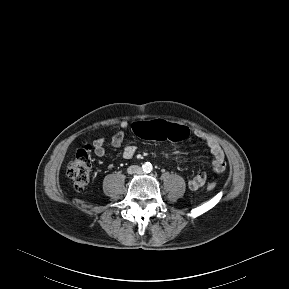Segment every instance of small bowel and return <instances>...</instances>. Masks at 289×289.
Masks as SVG:
<instances>
[{"instance_id": "obj_1", "label": "small bowel", "mask_w": 289, "mask_h": 289, "mask_svg": "<svg viewBox=\"0 0 289 289\" xmlns=\"http://www.w3.org/2000/svg\"><path fill=\"white\" fill-rule=\"evenodd\" d=\"M131 128L133 131V124L130 125L127 121H122L119 126V130L112 136L110 140V144L112 147L118 148L122 145L124 139H125V134L126 131ZM195 135L202 139L207 147L210 150V153L213 157L212 160V170L215 173H221L225 170L226 168V161H225V155L220 147V145L214 141L213 139L207 137L203 132L201 131H196ZM105 139L104 138H97L93 141V148H94V153L98 157H104L106 154L105 150ZM136 153V147L133 145H128L124 147L122 151V157L124 159H131ZM208 178V174L206 172H202L194 176L192 179L189 180L188 185L189 188L192 190H197L204 186L206 180Z\"/></svg>"}]
</instances>
